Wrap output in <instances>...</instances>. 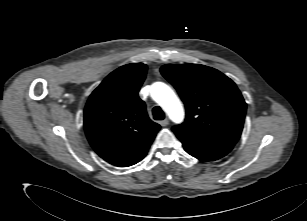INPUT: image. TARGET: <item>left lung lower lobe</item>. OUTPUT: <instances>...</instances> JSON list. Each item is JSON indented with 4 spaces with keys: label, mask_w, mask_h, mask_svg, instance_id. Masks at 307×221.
Here are the masks:
<instances>
[{
    "label": "left lung lower lobe",
    "mask_w": 307,
    "mask_h": 221,
    "mask_svg": "<svg viewBox=\"0 0 307 221\" xmlns=\"http://www.w3.org/2000/svg\"><path fill=\"white\" fill-rule=\"evenodd\" d=\"M177 137L182 142L187 153L203 161H214L220 159L233 149V146L229 145L211 144L178 135Z\"/></svg>",
    "instance_id": "obj_1"
}]
</instances>
